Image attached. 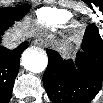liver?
<instances>
[{"label": "liver", "mask_w": 103, "mask_h": 103, "mask_svg": "<svg viewBox=\"0 0 103 103\" xmlns=\"http://www.w3.org/2000/svg\"><path fill=\"white\" fill-rule=\"evenodd\" d=\"M30 27V19L26 18L25 21L18 23L17 27L7 33L4 37L5 43L12 40L17 41L18 43L22 42L34 32Z\"/></svg>", "instance_id": "liver-1"}]
</instances>
